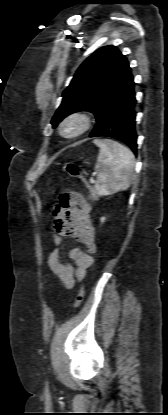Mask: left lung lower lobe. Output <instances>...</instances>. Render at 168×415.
<instances>
[{
	"label": "left lung lower lobe",
	"mask_w": 168,
	"mask_h": 415,
	"mask_svg": "<svg viewBox=\"0 0 168 415\" xmlns=\"http://www.w3.org/2000/svg\"><path fill=\"white\" fill-rule=\"evenodd\" d=\"M132 81L105 106L97 118V124L89 137L106 136L118 139L137 152V134L135 131L136 98Z\"/></svg>",
	"instance_id": "0a47b994"
}]
</instances>
